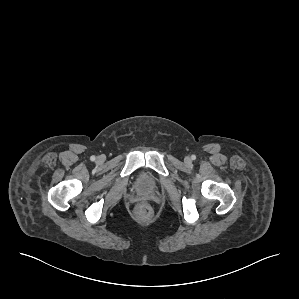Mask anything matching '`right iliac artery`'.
Listing matches in <instances>:
<instances>
[{"label":"right iliac artery","mask_w":299,"mask_h":299,"mask_svg":"<svg viewBox=\"0 0 299 299\" xmlns=\"http://www.w3.org/2000/svg\"><path fill=\"white\" fill-rule=\"evenodd\" d=\"M92 161H94L95 160V156H91V158H90Z\"/></svg>","instance_id":"right-iliac-artery-1"}]
</instances>
